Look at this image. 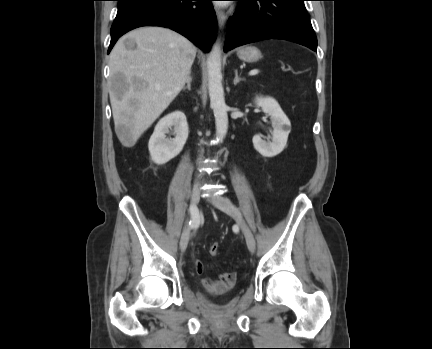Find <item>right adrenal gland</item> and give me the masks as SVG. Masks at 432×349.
<instances>
[{
	"label": "right adrenal gland",
	"mask_w": 432,
	"mask_h": 349,
	"mask_svg": "<svg viewBox=\"0 0 432 349\" xmlns=\"http://www.w3.org/2000/svg\"><path fill=\"white\" fill-rule=\"evenodd\" d=\"M191 82H192V76L191 73L189 74L187 80H186V86L183 87V90L188 89L189 91L191 90Z\"/></svg>",
	"instance_id": "2a0ac1e0"
}]
</instances>
